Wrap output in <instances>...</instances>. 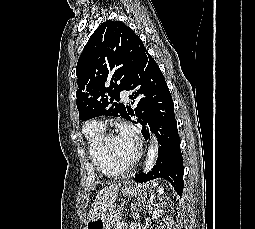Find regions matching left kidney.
I'll use <instances>...</instances> for the list:
<instances>
[{
    "mask_svg": "<svg viewBox=\"0 0 255 229\" xmlns=\"http://www.w3.org/2000/svg\"><path fill=\"white\" fill-rule=\"evenodd\" d=\"M162 212H163L162 209H158V210L154 211V212H153L152 219L157 220V219L161 216Z\"/></svg>",
    "mask_w": 255,
    "mask_h": 229,
    "instance_id": "1",
    "label": "left kidney"
}]
</instances>
